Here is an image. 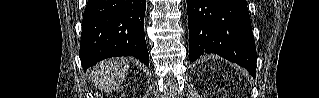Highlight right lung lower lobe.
<instances>
[{
    "label": "right lung lower lobe",
    "mask_w": 319,
    "mask_h": 98,
    "mask_svg": "<svg viewBox=\"0 0 319 98\" xmlns=\"http://www.w3.org/2000/svg\"><path fill=\"white\" fill-rule=\"evenodd\" d=\"M145 9V0H88L79 52L84 70L100 60L129 55L148 66Z\"/></svg>",
    "instance_id": "98d812e1"
}]
</instances>
